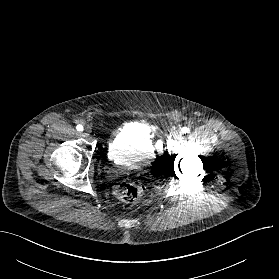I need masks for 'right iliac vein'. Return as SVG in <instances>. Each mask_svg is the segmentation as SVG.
<instances>
[{"mask_svg": "<svg viewBox=\"0 0 279 279\" xmlns=\"http://www.w3.org/2000/svg\"><path fill=\"white\" fill-rule=\"evenodd\" d=\"M91 133V127L90 126H86L85 129H84V135L85 136H89Z\"/></svg>", "mask_w": 279, "mask_h": 279, "instance_id": "1", "label": "right iliac vein"}]
</instances>
